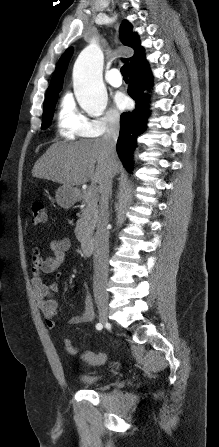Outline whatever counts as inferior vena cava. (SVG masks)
Segmentation results:
<instances>
[{
    "label": "inferior vena cava",
    "instance_id": "obj_1",
    "mask_svg": "<svg viewBox=\"0 0 219 447\" xmlns=\"http://www.w3.org/2000/svg\"><path fill=\"white\" fill-rule=\"evenodd\" d=\"M119 136V121L114 119L109 121L106 132L102 138L105 154L109 163V170L106 178L99 186L100 202L99 216L97 219L95 233L94 251V297L98 299L105 294V284L108 278V257H109V231L108 225V201L112 188L111 167L116 157V143Z\"/></svg>",
    "mask_w": 219,
    "mask_h": 447
}]
</instances>
